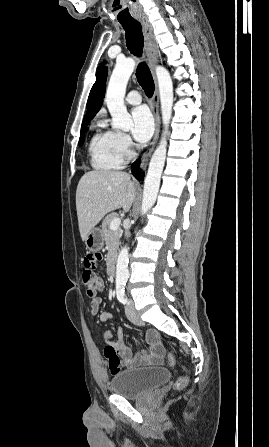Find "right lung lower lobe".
Listing matches in <instances>:
<instances>
[{"instance_id": "1", "label": "right lung lower lobe", "mask_w": 269, "mask_h": 447, "mask_svg": "<svg viewBox=\"0 0 269 447\" xmlns=\"http://www.w3.org/2000/svg\"><path fill=\"white\" fill-rule=\"evenodd\" d=\"M139 166H140V160H137L135 163L132 164V173L138 180L143 178V175L141 173V169H139Z\"/></svg>"}]
</instances>
